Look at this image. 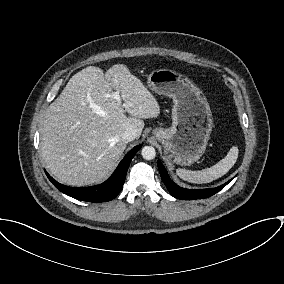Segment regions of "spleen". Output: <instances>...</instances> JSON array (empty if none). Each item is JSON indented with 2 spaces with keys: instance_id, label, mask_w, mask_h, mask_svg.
<instances>
[{
  "instance_id": "3e777b00",
  "label": "spleen",
  "mask_w": 284,
  "mask_h": 284,
  "mask_svg": "<svg viewBox=\"0 0 284 284\" xmlns=\"http://www.w3.org/2000/svg\"><path fill=\"white\" fill-rule=\"evenodd\" d=\"M238 153V148L233 146L222 160L210 168L199 171L178 168L176 173L181 179L191 183H209L225 175L234 166Z\"/></svg>"
}]
</instances>
